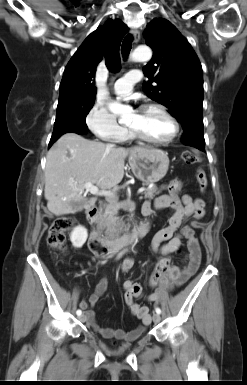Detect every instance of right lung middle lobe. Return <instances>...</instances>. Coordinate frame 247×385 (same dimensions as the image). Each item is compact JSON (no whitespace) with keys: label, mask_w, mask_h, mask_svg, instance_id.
Segmentation results:
<instances>
[{"label":"right lung middle lobe","mask_w":247,"mask_h":385,"mask_svg":"<svg viewBox=\"0 0 247 385\" xmlns=\"http://www.w3.org/2000/svg\"><path fill=\"white\" fill-rule=\"evenodd\" d=\"M95 97L79 95L59 96L53 133L71 128H88L86 116L94 104Z\"/></svg>","instance_id":"right-lung-middle-lobe-1"}]
</instances>
